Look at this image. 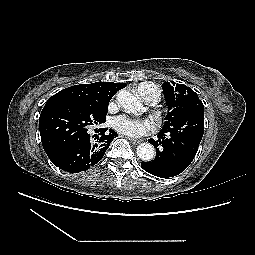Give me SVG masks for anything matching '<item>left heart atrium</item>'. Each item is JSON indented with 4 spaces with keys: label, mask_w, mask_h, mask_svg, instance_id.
Returning a JSON list of instances; mask_svg holds the SVG:
<instances>
[{
    "label": "left heart atrium",
    "mask_w": 255,
    "mask_h": 255,
    "mask_svg": "<svg viewBox=\"0 0 255 255\" xmlns=\"http://www.w3.org/2000/svg\"><path fill=\"white\" fill-rule=\"evenodd\" d=\"M112 126L129 136H144L155 129V123L151 119H137L125 114L115 117Z\"/></svg>",
    "instance_id": "39dd6f15"
}]
</instances>
